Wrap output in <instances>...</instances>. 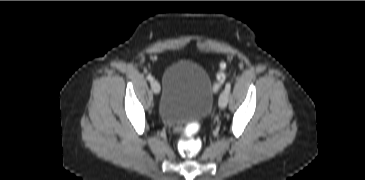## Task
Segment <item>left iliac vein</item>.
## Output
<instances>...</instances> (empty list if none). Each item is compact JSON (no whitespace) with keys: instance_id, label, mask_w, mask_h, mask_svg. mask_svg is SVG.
<instances>
[{"instance_id":"4c4485c4","label":"left iliac vein","mask_w":365,"mask_h":180,"mask_svg":"<svg viewBox=\"0 0 365 180\" xmlns=\"http://www.w3.org/2000/svg\"><path fill=\"white\" fill-rule=\"evenodd\" d=\"M228 96H229V93L224 90L221 94H220V97H219V101H218V105L220 108H225L227 103H228Z\"/></svg>"}]
</instances>
